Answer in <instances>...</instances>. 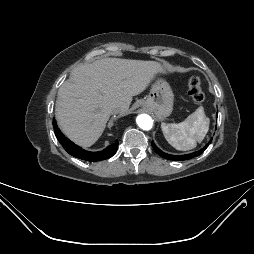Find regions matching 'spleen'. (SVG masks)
Returning a JSON list of instances; mask_svg holds the SVG:
<instances>
[{"label": "spleen", "instance_id": "1", "mask_svg": "<svg viewBox=\"0 0 254 254\" xmlns=\"http://www.w3.org/2000/svg\"><path fill=\"white\" fill-rule=\"evenodd\" d=\"M162 132L168 143L177 150L186 151L201 143L209 130V118L202 106L178 124L161 125Z\"/></svg>", "mask_w": 254, "mask_h": 254}]
</instances>
